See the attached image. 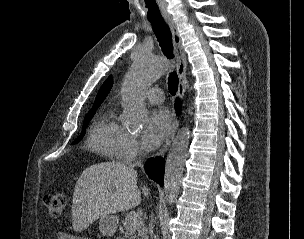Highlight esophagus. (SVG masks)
Here are the masks:
<instances>
[{"instance_id":"34e87169","label":"esophagus","mask_w":304,"mask_h":239,"mask_svg":"<svg viewBox=\"0 0 304 239\" xmlns=\"http://www.w3.org/2000/svg\"><path fill=\"white\" fill-rule=\"evenodd\" d=\"M165 21H166L168 27L170 28V31L172 34L174 53H175L176 62H177V75H178V79H179L177 96L179 99H182L184 96L185 90H186V82H185L186 65H187L186 56H185V53H184V50L182 47L181 38L178 34L174 21L171 18H166ZM178 126H179V120L176 115V112L174 111L173 121H172L170 131L168 133L166 141L164 142L163 146L157 153V156H163L167 152L169 146L171 145V143L175 137Z\"/></svg>"}]
</instances>
